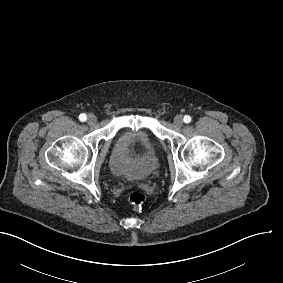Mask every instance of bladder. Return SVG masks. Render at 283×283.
Here are the masks:
<instances>
[{"mask_svg":"<svg viewBox=\"0 0 283 283\" xmlns=\"http://www.w3.org/2000/svg\"><path fill=\"white\" fill-rule=\"evenodd\" d=\"M142 147L136 148L135 144ZM112 174L127 181L143 180L157 172L160 155L153 135L145 127L123 128L113 138Z\"/></svg>","mask_w":283,"mask_h":283,"instance_id":"bladder-1","label":"bladder"}]
</instances>
